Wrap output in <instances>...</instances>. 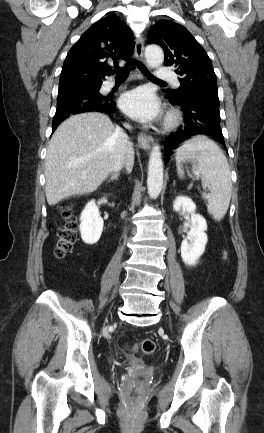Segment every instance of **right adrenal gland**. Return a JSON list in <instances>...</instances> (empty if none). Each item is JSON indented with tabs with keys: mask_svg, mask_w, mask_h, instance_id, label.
Here are the masks:
<instances>
[{
	"mask_svg": "<svg viewBox=\"0 0 264 433\" xmlns=\"http://www.w3.org/2000/svg\"><path fill=\"white\" fill-rule=\"evenodd\" d=\"M119 172L114 173L109 180H107V183H110L113 180H118Z\"/></svg>",
	"mask_w": 264,
	"mask_h": 433,
	"instance_id": "obj_1",
	"label": "right adrenal gland"
}]
</instances>
